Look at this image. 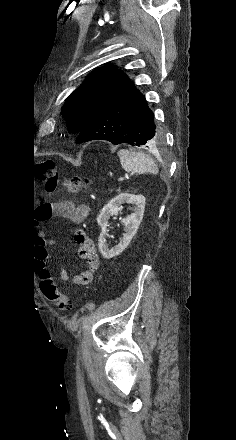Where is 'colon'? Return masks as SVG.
<instances>
[{
	"instance_id": "obj_1",
	"label": "colon",
	"mask_w": 236,
	"mask_h": 440,
	"mask_svg": "<svg viewBox=\"0 0 236 440\" xmlns=\"http://www.w3.org/2000/svg\"><path fill=\"white\" fill-rule=\"evenodd\" d=\"M38 180L43 184L49 192L54 191L59 184V174L56 163L51 159L43 160L39 165L37 173ZM91 180L87 177H73L62 181L63 187L70 193H77L86 190L90 186ZM53 279L46 274V278L40 283L41 292L51 302L62 310H68L70 301L68 296L62 292L54 283Z\"/></svg>"
}]
</instances>
